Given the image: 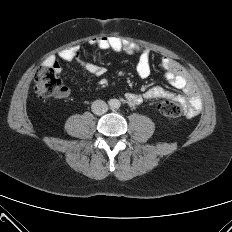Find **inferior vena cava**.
Returning a JSON list of instances; mask_svg holds the SVG:
<instances>
[{
	"instance_id": "obj_1",
	"label": "inferior vena cava",
	"mask_w": 232,
	"mask_h": 232,
	"mask_svg": "<svg viewBox=\"0 0 232 232\" xmlns=\"http://www.w3.org/2000/svg\"><path fill=\"white\" fill-rule=\"evenodd\" d=\"M92 112L96 115H102L107 112L108 105L103 100H95L91 106Z\"/></svg>"
}]
</instances>
